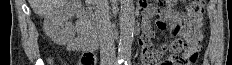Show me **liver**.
Listing matches in <instances>:
<instances>
[{
  "instance_id": "obj_1",
  "label": "liver",
  "mask_w": 232,
  "mask_h": 65,
  "mask_svg": "<svg viewBox=\"0 0 232 65\" xmlns=\"http://www.w3.org/2000/svg\"><path fill=\"white\" fill-rule=\"evenodd\" d=\"M66 0H29V4L35 14L46 16L50 11L62 5Z\"/></svg>"
}]
</instances>
